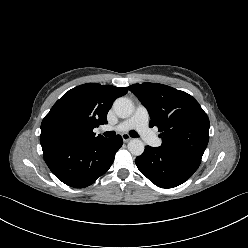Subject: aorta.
Here are the masks:
<instances>
[{
	"mask_svg": "<svg viewBox=\"0 0 248 248\" xmlns=\"http://www.w3.org/2000/svg\"><path fill=\"white\" fill-rule=\"evenodd\" d=\"M113 109L120 118H128L133 113V103L125 97L116 99L113 103ZM128 150L132 155L139 156L144 152V144L139 139H132L128 143Z\"/></svg>",
	"mask_w": 248,
	"mask_h": 248,
	"instance_id": "obj_1",
	"label": "aorta"
}]
</instances>
